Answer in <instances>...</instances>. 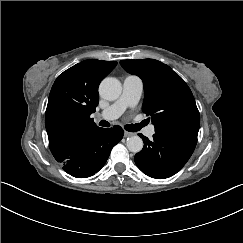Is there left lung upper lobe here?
I'll use <instances>...</instances> for the list:
<instances>
[{
  "label": "left lung upper lobe",
  "instance_id": "5c2ea615",
  "mask_svg": "<svg viewBox=\"0 0 243 243\" xmlns=\"http://www.w3.org/2000/svg\"><path fill=\"white\" fill-rule=\"evenodd\" d=\"M121 66L144 84L143 112L156 132L197 137L200 115L186 82L168 65L154 59L122 60Z\"/></svg>",
  "mask_w": 243,
  "mask_h": 243
}]
</instances>
